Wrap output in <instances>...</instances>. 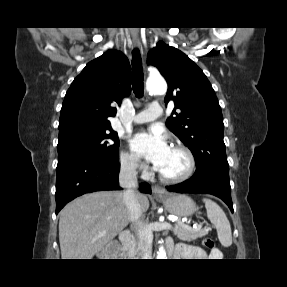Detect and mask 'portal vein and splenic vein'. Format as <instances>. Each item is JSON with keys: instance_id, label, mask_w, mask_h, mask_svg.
<instances>
[{"instance_id": "1", "label": "portal vein and splenic vein", "mask_w": 287, "mask_h": 287, "mask_svg": "<svg viewBox=\"0 0 287 287\" xmlns=\"http://www.w3.org/2000/svg\"><path fill=\"white\" fill-rule=\"evenodd\" d=\"M169 220L172 221V222H178L180 224H184L186 222L184 220L183 221H179V220H177L176 218H173V217H169ZM184 225H186V224H184ZM186 226H188V225H186ZM201 227H202V225L200 224L198 228H201Z\"/></svg>"}]
</instances>
